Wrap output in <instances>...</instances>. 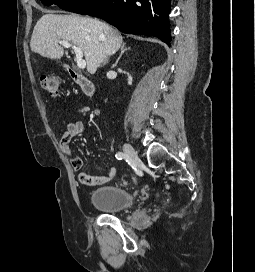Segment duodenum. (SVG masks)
Listing matches in <instances>:
<instances>
[{
    "instance_id": "duodenum-1",
    "label": "duodenum",
    "mask_w": 255,
    "mask_h": 272,
    "mask_svg": "<svg viewBox=\"0 0 255 272\" xmlns=\"http://www.w3.org/2000/svg\"><path fill=\"white\" fill-rule=\"evenodd\" d=\"M67 71L73 81L80 87L82 92L87 96H93L95 93V84L78 72L75 68L68 66Z\"/></svg>"
}]
</instances>
